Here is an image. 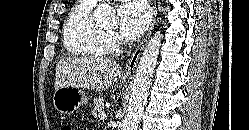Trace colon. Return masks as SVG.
I'll list each match as a JSON object with an SVG mask.
<instances>
[{
  "instance_id": "1",
  "label": "colon",
  "mask_w": 249,
  "mask_h": 130,
  "mask_svg": "<svg viewBox=\"0 0 249 130\" xmlns=\"http://www.w3.org/2000/svg\"><path fill=\"white\" fill-rule=\"evenodd\" d=\"M61 130H75V128L71 124H64Z\"/></svg>"
}]
</instances>
